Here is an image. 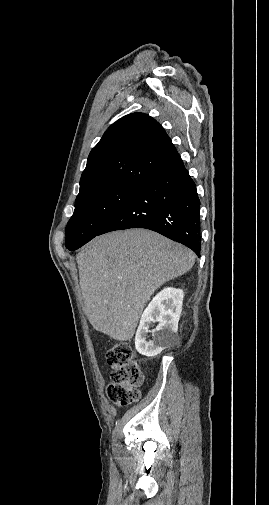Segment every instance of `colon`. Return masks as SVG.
<instances>
[{
  "instance_id": "colon-1",
  "label": "colon",
  "mask_w": 269,
  "mask_h": 505,
  "mask_svg": "<svg viewBox=\"0 0 269 505\" xmlns=\"http://www.w3.org/2000/svg\"><path fill=\"white\" fill-rule=\"evenodd\" d=\"M106 361L111 368L108 398L122 407L138 401L143 374L130 344L125 341L115 343L107 350Z\"/></svg>"
}]
</instances>
